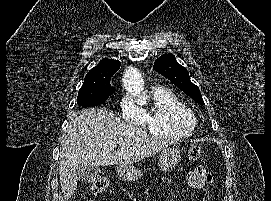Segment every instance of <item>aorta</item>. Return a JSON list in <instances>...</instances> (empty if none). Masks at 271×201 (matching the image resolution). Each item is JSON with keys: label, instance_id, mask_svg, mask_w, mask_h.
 <instances>
[{"label": "aorta", "instance_id": "1", "mask_svg": "<svg viewBox=\"0 0 271 201\" xmlns=\"http://www.w3.org/2000/svg\"><path fill=\"white\" fill-rule=\"evenodd\" d=\"M137 77V71L133 68H129L126 71L125 85L134 96H137L145 103L147 101V96L144 92V85L142 80L137 79Z\"/></svg>", "mask_w": 271, "mask_h": 201}]
</instances>
